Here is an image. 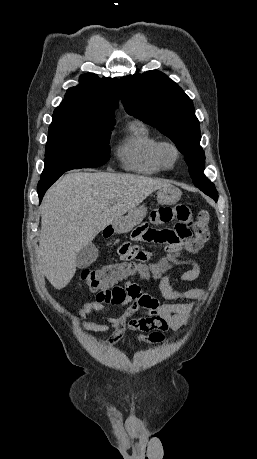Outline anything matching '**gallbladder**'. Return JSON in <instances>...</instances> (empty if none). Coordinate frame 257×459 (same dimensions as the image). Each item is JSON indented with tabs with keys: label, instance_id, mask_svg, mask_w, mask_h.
<instances>
[{
	"label": "gallbladder",
	"instance_id": "1",
	"mask_svg": "<svg viewBox=\"0 0 257 459\" xmlns=\"http://www.w3.org/2000/svg\"><path fill=\"white\" fill-rule=\"evenodd\" d=\"M98 257L97 247L90 243L82 248L76 256V265L78 268H86L90 266Z\"/></svg>",
	"mask_w": 257,
	"mask_h": 459
}]
</instances>
